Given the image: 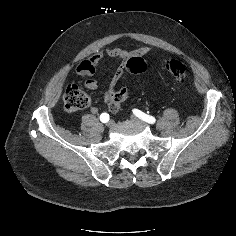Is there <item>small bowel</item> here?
<instances>
[{
	"label": "small bowel",
	"mask_w": 236,
	"mask_h": 236,
	"mask_svg": "<svg viewBox=\"0 0 236 236\" xmlns=\"http://www.w3.org/2000/svg\"><path fill=\"white\" fill-rule=\"evenodd\" d=\"M149 52L150 49L147 47H141L135 50H126L120 47H109L104 52H96L89 60H84L79 63L76 66L74 73L80 76H86L87 79L85 81V87L90 90H95L97 88V82L94 79V75L104 53L109 57L118 60L119 65L111 78L109 88L104 94V100L108 103L115 93L116 85L126 70L128 60L131 57H144L148 55ZM90 112L92 114H96L98 112V108L93 105L90 107Z\"/></svg>",
	"instance_id": "c3829d8e"
}]
</instances>
